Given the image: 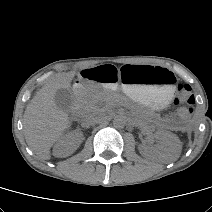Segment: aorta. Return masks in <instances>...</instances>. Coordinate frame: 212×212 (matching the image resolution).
<instances>
[{
	"label": "aorta",
	"instance_id": "1",
	"mask_svg": "<svg viewBox=\"0 0 212 212\" xmlns=\"http://www.w3.org/2000/svg\"><path fill=\"white\" fill-rule=\"evenodd\" d=\"M113 125L116 128H123L126 125V119L122 115H116L113 119Z\"/></svg>",
	"mask_w": 212,
	"mask_h": 212
}]
</instances>
